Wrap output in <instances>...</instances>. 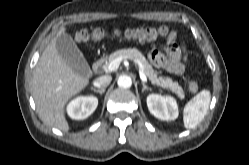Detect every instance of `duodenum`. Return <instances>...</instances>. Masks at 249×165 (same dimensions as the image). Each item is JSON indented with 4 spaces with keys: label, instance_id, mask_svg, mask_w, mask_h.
Returning <instances> with one entry per match:
<instances>
[{
    "label": "duodenum",
    "instance_id": "obj_1",
    "mask_svg": "<svg viewBox=\"0 0 249 165\" xmlns=\"http://www.w3.org/2000/svg\"><path fill=\"white\" fill-rule=\"evenodd\" d=\"M102 64H103V60H102V59H100V58H99V59H96V60L92 63V71H93L94 73L98 72V71L100 70Z\"/></svg>",
    "mask_w": 249,
    "mask_h": 165
}]
</instances>
